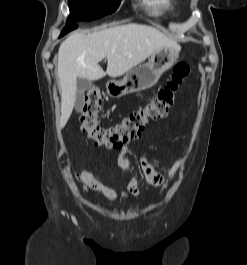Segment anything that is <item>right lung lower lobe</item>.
I'll list each match as a JSON object with an SVG mask.
<instances>
[{"label":"right lung lower lobe","instance_id":"right-lung-lower-lobe-1","mask_svg":"<svg viewBox=\"0 0 247 265\" xmlns=\"http://www.w3.org/2000/svg\"><path fill=\"white\" fill-rule=\"evenodd\" d=\"M76 27H77V25H74V24H72V25H66V27L62 30L60 37H62L63 35H65L69 31L75 29Z\"/></svg>","mask_w":247,"mask_h":265}]
</instances>
